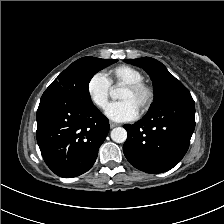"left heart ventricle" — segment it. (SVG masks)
Segmentation results:
<instances>
[{
    "instance_id": "obj_1",
    "label": "left heart ventricle",
    "mask_w": 224,
    "mask_h": 224,
    "mask_svg": "<svg viewBox=\"0 0 224 224\" xmlns=\"http://www.w3.org/2000/svg\"><path fill=\"white\" fill-rule=\"evenodd\" d=\"M143 98H144L143 94L133 93L125 88L122 89L119 96V99L121 101H124V100L130 101L138 110L143 102Z\"/></svg>"
}]
</instances>
